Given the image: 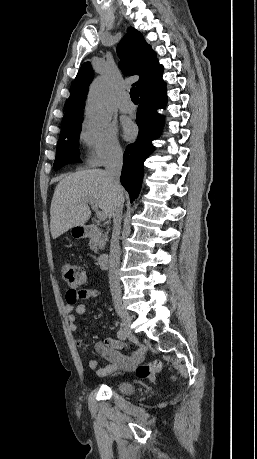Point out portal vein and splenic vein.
<instances>
[{
  "instance_id": "portal-vein-and-splenic-vein-1",
  "label": "portal vein and splenic vein",
  "mask_w": 257,
  "mask_h": 459,
  "mask_svg": "<svg viewBox=\"0 0 257 459\" xmlns=\"http://www.w3.org/2000/svg\"><path fill=\"white\" fill-rule=\"evenodd\" d=\"M88 203L91 205V208L96 212L97 218L99 220H105V214L101 211H98L97 204L94 200H89Z\"/></svg>"
}]
</instances>
